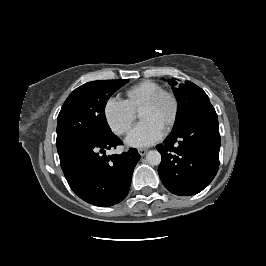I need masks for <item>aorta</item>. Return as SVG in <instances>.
I'll use <instances>...</instances> for the list:
<instances>
[{
  "label": "aorta",
  "instance_id": "aorta-1",
  "mask_svg": "<svg viewBox=\"0 0 266 266\" xmlns=\"http://www.w3.org/2000/svg\"><path fill=\"white\" fill-rule=\"evenodd\" d=\"M146 161L150 165H159L161 162V154L157 150H150L146 154Z\"/></svg>",
  "mask_w": 266,
  "mask_h": 266
}]
</instances>
